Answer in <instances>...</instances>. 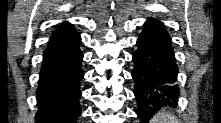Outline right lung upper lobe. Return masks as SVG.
I'll list each match as a JSON object with an SVG mask.
<instances>
[{
	"instance_id": "right-lung-upper-lobe-1",
	"label": "right lung upper lobe",
	"mask_w": 221,
	"mask_h": 123,
	"mask_svg": "<svg viewBox=\"0 0 221 123\" xmlns=\"http://www.w3.org/2000/svg\"><path fill=\"white\" fill-rule=\"evenodd\" d=\"M76 33L77 31L72 26V24L68 22H63L59 25V27L55 31H53L51 40L56 38L66 37L68 35H75Z\"/></svg>"
}]
</instances>
